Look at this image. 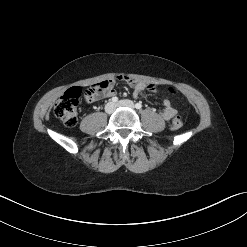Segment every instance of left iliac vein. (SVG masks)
Listing matches in <instances>:
<instances>
[{"instance_id":"obj_1","label":"left iliac vein","mask_w":247,"mask_h":247,"mask_svg":"<svg viewBox=\"0 0 247 247\" xmlns=\"http://www.w3.org/2000/svg\"><path fill=\"white\" fill-rule=\"evenodd\" d=\"M117 106L119 107H128V108H131L133 109L135 106L133 104V102L131 100H120L118 103H117Z\"/></svg>"}]
</instances>
